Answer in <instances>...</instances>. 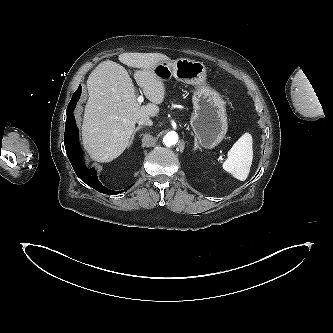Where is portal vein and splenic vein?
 <instances>
[{
  "label": "portal vein and splenic vein",
  "instance_id": "18ae733b",
  "mask_svg": "<svg viewBox=\"0 0 333 333\" xmlns=\"http://www.w3.org/2000/svg\"><path fill=\"white\" fill-rule=\"evenodd\" d=\"M144 100V97L142 95H140L138 98H137V101L139 104H141Z\"/></svg>",
  "mask_w": 333,
  "mask_h": 333
}]
</instances>
